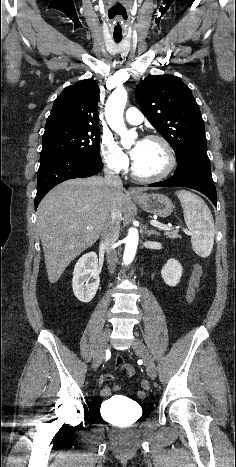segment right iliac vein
Returning a JSON list of instances; mask_svg holds the SVG:
<instances>
[{
	"label": "right iliac vein",
	"instance_id": "right-iliac-vein-1",
	"mask_svg": "<svg viewBox=\"0 0 236 467\" xmlns=\"http://www.w3.org/2000/svg\"><path fill=\"white\" fill-rule=\"evenodd\" d=\"M109 336H110V329L106 328L101 335V338H100V341L97 346L95 356L93 359L92 368L94 370H96L101 365L104 359L105 352H106L107 345H108Z\"/></svg>",
	"mask_w": 236,
	"mask_h": 467
}]
</instances>
